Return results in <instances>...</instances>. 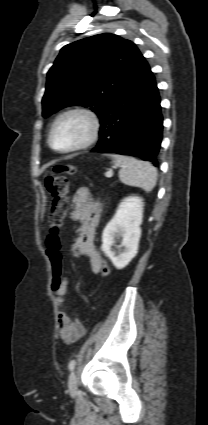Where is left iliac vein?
Returning a JSON list of instances; mask_svg holds the SVG:
<instances>
[{"instance_id":"1","label":"left iliac vein","mask_w":208,"mask_h":425,"mask_svg":"<svg viewBox=\"0 0 208 425\" xmlns=\"http://www.w3.org/2000/svg\"><path fill=\"white\" fill-rule=\"evenodd\" d=\"M68 389L72 396H75L78 391V381L75 372H72L68 379Z\"/></svg>"}]
</instances>
